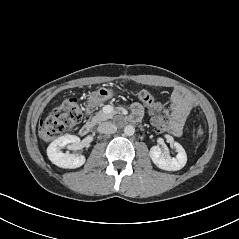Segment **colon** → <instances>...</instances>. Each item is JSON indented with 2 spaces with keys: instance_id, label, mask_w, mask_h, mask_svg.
Returning a JSON list of instances; mask_svg holds the SVG:
<instances>
[{
  "instance_id": "colon-1",
  "label": "colon",
  "mask_w": 239,
  "mask_h": 239,
  "mask_svg": "<svg viewBox=\"0 0 239 239\" xmlns=\"http://www.w3.org/2000/svg\"><path fill=\"white\" fill-rule=\"evenodd\" d=\"M136 96L148 107L152 128L159 135L168 132L171 126L169 114L156 102L154 96L145 89H137ZM83 118L81 105L75 98H67L53 108L40 123V135L50 140L77 125Z\"/></svg>"
}]
</instances>
